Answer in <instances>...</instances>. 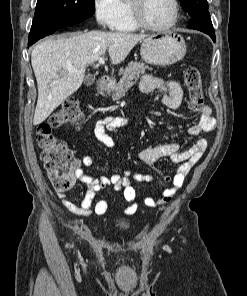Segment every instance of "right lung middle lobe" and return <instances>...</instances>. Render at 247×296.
Returning <instances> with one entry per match:
<instances>
[{
  "mask_svg": "<svg viewBox=\"0 0 247 296\" xmlns=\"http://www.w3.org/2000/svg\"><path fill=\"white\" fill-rule=\"evenodd\" d=\"M95 0H38L32 26L33 36L46 32L48 26H70L95 12Z\"/></svg>",
  "mask_w": 247,
  "mask_h": 296,
  "instance_id": "dd1d6c3e",
  "label": "right lung middle lobe"
}]
</instances>
